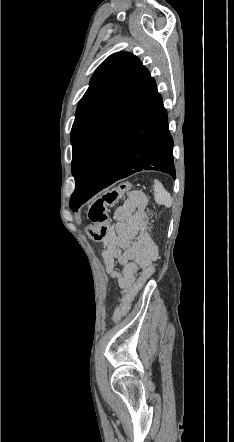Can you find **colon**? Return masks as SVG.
<instances>
[{
	"label": "colon",
	"instance_id": "1",
	"mask_svg": "<svg viewBox=\"0 0 234 442\" xmlns=\"http://www.w3.org/2000/svg\"><path fill=\"white\" fill-rule=\"evenodd\" d=\"M130 189V183H123L116 188L104 192L100 197L93 201L88 211V218L92 223V226L88 228V232L93 240L100 241L105 238L108 233V207L117 203L120 198L124 197L130 191ZM159 266V261L154 260L152 261L151 266H148L147 269L142 272L137 282L123 297L119 309H117L114 314V322L119 321L127 313L136 294L151 277L154 269L159 268Z\"/></svg>",
	"mask_w": 234,
	"mask_h": 442
}]
</instances>
